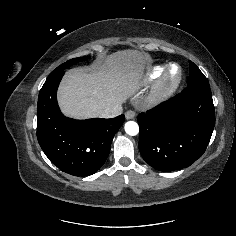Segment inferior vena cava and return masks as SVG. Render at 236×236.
Instances as JSON below:
<instances>
[{
  "label": "inferior vena cava",
  "mask_w": 236,
  "mask_h": 236,
  "mask_svg": "<svg viewBox=\"0 0 236 236\" xmlns=\"http://www.w3.org/2000/svg\"><path fill=\"white\" fill-rule=\"evenodd\" d=\"M122 112H123L122 106L120 104H116L112 107L106 108L102 112L101 117L102 118H113V117H116V116L122 114Z\"/></svg>",
  "instance_id": "602c4592"
}]
</instances>
